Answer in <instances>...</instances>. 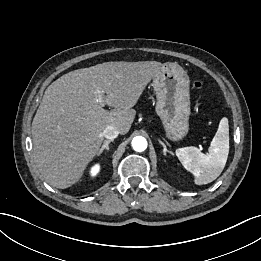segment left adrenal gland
I'll return each mask as SVG.
<instances>
[{
	"label": "left adrenal gland",
	"instance_id": "obj_1",
	"mask_svg": "<svg viewBox=\"0 0 261 261\" xmlns=\"http://www.w3.org/2000/svg\"><path fill=\"white\" fill-rule=\"evenodd\" d=\"M159 142L163 146L164 155H166L167 153H170L173 155V153L167 149L166 145L162 141L159 140Z\"/></svg>",
	"mask_w": 261,
	"mask_h": 261
}]
</instances>
